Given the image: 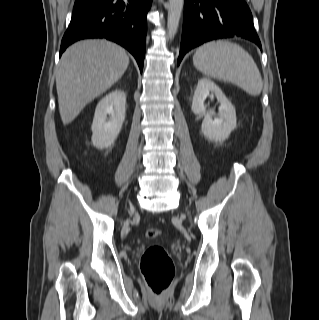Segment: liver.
Wrapping results in <instances>:
<instances>
[{
    "label": "liver",
    "mask_w": 319,
    "mask_h": 320,
    "mask_svg": "<svg viewBox=\"0 0 319 320\" xmlns=\"http://www.w3.org/2000/svg\"><path fill=\"white\" fill-rule=\"evenodd\" d=\"M128 65L125 49L105 39L71 45L63 53L56 74L63 124L71 123L89 102L116 83Z\"/></svg>",
    "instance_id": "liver-1"
}]
</instances>
